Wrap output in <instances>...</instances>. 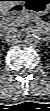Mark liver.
Listing matches in <instances>:
<instances>
[{
    "label": "liver",
    "instance_id": "liver-1",
    "mask_svg": "<svg viewBox=\"0 0 50 111\" xmlns=\"http://www.w3.org/2000/svg\"><path fill=\"white\" fill-rule=\"evenodd\" d=\"M19 2L16 0H8V1H1L0 2V10L1 12H7L14 6H16Z\"/></svg>",
    "mask_w": 50,
    "mask_h": 111
}]
</instances>
